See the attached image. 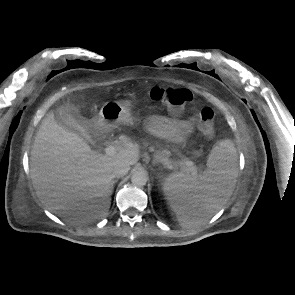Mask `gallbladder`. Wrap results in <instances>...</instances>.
<instances>
[{
    "instance_id": "obj_1",
    "label": "gallbladder",
    "mask_w": 295,
    "mask_h": 295,
    "mask_svg": "<svg viewBox=\"0 0 295 295\" xmlns=\"http://www.w3.org/2000/svg\"><path fill=\"white\" fill-rule=\"evenodd\" d=\"M56 121L66 130L79 133L78 125H82L83 119L79 112L67 105L59 106L55 111Z\"/></svg>"
}]
</instances>
